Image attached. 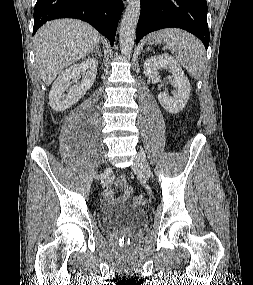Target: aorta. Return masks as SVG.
Wrapping results in <instances>:
<instances>
[{
  "mask_svg": "<svg viewBox=\"0 0 253 285\" xmlns=\"http://www.w3.org/2000/svg\"><path fill=\"white\" fill-rule=\"evenodd\" d=\"M140 12V0H130L123 14L119 30L120 49L125 55H130L134 47L135 31Z\"/></svg>",
  "mask_w": 253,
  "mask_h": 285,
  "instance_id": "1",
  "label": "aorta"
}]
</instances>
